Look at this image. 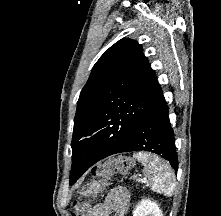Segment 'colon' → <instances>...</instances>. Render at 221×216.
I'll return each instance as SVG.
<instances>
[{
	"mask_svg": "<svg viewBox=\"0 0 221 216\" xmlns=\"http://www.w3.org/2000/svg\"><path fill=\"white\" fill-rule=\"evenodd\" d=\"M133 161L128 157L111 158L95 169L96 175L105 176L112 172L124 173L133 167ZM75 211L72 216H88L89 204L76 200L73 203Z\"/></svg>",
	"mask_w": 221,
	"mask_h": 216,
	"instance_id": "1",
	"label": "colon"
}]
</instances>
